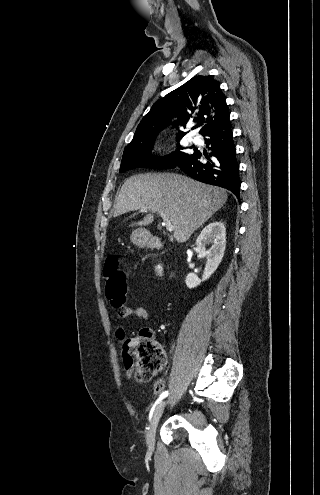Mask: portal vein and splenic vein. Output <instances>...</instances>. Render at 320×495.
Returning a JSON list of instances; mask_svg holds the SVG:
<instances>
[{
	"label": "portal vein and splenic vein",
	"instance_id": "portal-vein-and-splenic-vein-1",
	"mask_svg": "<svg viewBox=\"0 0 320 495\" xmlns=\"http://www.w3.org/2000/svg\"><path fill=\"white\" fill-rule=\"evenodd\" d=\"M141 211L144 212V211H146V209L142 208ZM160 216L163 219L162 225H164L166 227V230L167 231H173L174 226L172 225L170 219L162 212H160Z\"/></svg>",
	"mask_w": 320,
	"mask_h": 495
}]
</instances>
